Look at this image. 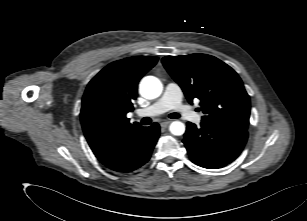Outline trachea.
Instances as JSON below:
<instances>
[{
	"label": "trachea",
	"mask_w": 307,
	"mask_h": 221,
	"mask_svg": "<svg viewBox=\"0 0 307 221\" xmlns=\"http://www.w3.org/2000/svg\"><path fill=\"white\" fill-rule=\"evenodd\" d=\"M169 117L170 118H180V114H178V113H171L169 115ZM141 122H142L143 125H149L151 123V119L149 117H145V118L142 119Z\"/></svg>",
	"instance_id": "3493384b"
}]
</instances>
